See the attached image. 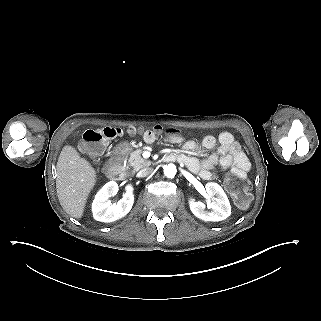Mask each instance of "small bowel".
I'll return each instance as SVG.
<instances>
[{"label":"small bowel","mask_w":321,"mask_h":321,"mask_svg":"<svg viewBox=\"0 0 321 321\" xmlns=\"http://www.w3.org/2000/svg\"><path fill=\"white\" fill-rule=\"evenodd\" d=\"M143 138L146 142L151 143L156 137L153 132L146 131ZM170 141L178 143L182 141V138L172 137ZM202 148L216 149V153L203 160L184 154L179 156L181 157V163L204 180L215 178L212 169L217 165L230 168L233 174H246L250 169L248 157L229 132H222L217 138L212 135L205 136L201 143L195 140H188L183 143V149L189 153L198 154Z\"/></svg>","instance_id":"1"}]
</instances>
